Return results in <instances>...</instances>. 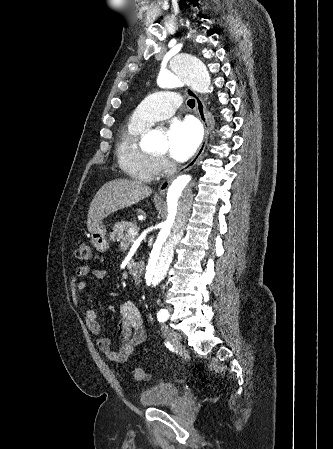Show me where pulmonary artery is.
<instances>
[{"instance_id":"pulmonary-artery-1","label":"pulmonary artery","mask_w":333,"mask_h":449,"mask_svg":"<svg viewBox=\"0 0 333 449\" xmlns=\"http://www.w3.org/2000/svg\"><path fill=\"white\" fill-rule=\"evenodd\" d=\"M180 104L181 98L178 93L172 91L156 92L138 105L133 118L149 127L156 121L170 117Z\"/></svg>"}]
</instances>
